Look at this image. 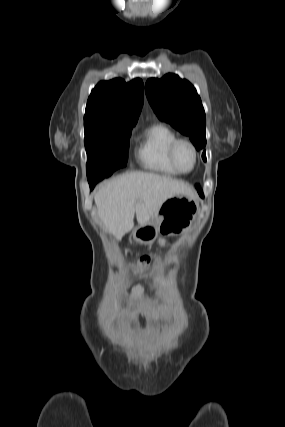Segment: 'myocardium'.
<instances>
[{"label":"myocardium","instance_id":"f54148a6","mask_svg":"<svg viewBox=\"0 0 285 427\" xmlns=\"http://www.w3.org/2000/svg\"><path fill=\"white\" fill-rule=\"evenodd\" d=\"M180 144H187L188 146L191 147V149L193 151V154H194V165H193V167L189 171H183L182 169H180V167L177 164V161H176V151H177V148H178V146ZM168 158H169V162L172 165V167L179 174H190L197 167L198 160H199V152H198L197 147L195 146V144L191 140H189L187 138H177V139H175L171 143V145L169 147Z\"/></svg>","mask_w":285,"mask_h":427}]
</instances>
